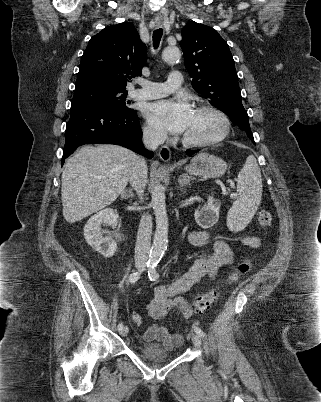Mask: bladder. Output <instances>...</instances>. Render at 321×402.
<instances>
[{"label": "bladder", "instance_id": "obj_1", "mask_svg": "<svg viewBox=\"0 0 321 402\" xmlns=\"http://www.w3.org/2000/svg\"><path fill=\"white\" fill-rule=\"evenodd\" d=\"M141 357L148 361L170 360L174 357L173 353H169L156 343H145L139 349Z\"/></svg>", "mask_w": 321, "mask_h": 402}]
</instances>
